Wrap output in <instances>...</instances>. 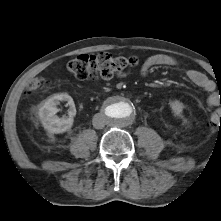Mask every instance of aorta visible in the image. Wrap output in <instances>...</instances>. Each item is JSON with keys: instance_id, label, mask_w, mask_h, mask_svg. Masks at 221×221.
Instances as JSON below:
<instances>
[{"instance_id": "obj_1", "label": "aorta", "mask_w": 221, "mask_h": 221, "mask_svg": "<svg viewBox=\"0 0 221 221\" xmlns=\"http://www.w3.org/2000/svg\"><path fill=\"white\" fill-rule=\"evenodd\" d=\"M104 115L109 124L123 127L130 124L135 116L133 103L126 98L119 97L107 102Z\"/></svg>"}]
</instances>
